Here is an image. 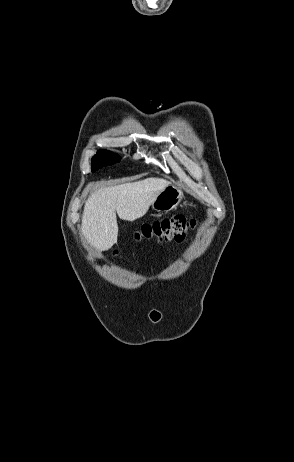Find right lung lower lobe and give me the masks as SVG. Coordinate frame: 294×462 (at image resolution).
<instances>
[{"label":"right lung lower lobe","mask_w":294,"mask_h":462,"mask_svg":"<svg viewBox=\"0 0 294 462\" xmlns=\"http://www.w3.org/2000/svg\"><path fill=\"white\" fill-rule=\"evenodd\" d=\"M117 162V161H116ZM116 162H113L111 161L110 159L108 158H105V157H100V156H95L93 159H92V171H96L98 170L99 168L101 167H104V166H107V165H111V164H114Z\"/></svg>","instance_id":"obj_1"}]
</instances>
